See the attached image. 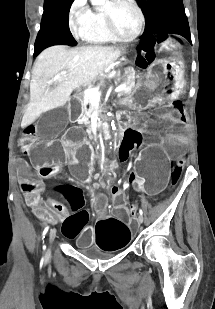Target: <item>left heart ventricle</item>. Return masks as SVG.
<instances>
[{"mask_svg": "<svg viewBox=\"0 0 215 309\" xmlns=\"http://www.w3.org/2000/svg\"><path fill=\"white\" fill-rule=\"evenodd\" d=\"M110 24L114 25L115 29H133L134 16L126 7H118L110 11Z\"/></svg>", "mask_w": 215, "mask_h": 309, "instance_id": "left-heart-ventricle-1", "label": "left heart ventricle"}]
</instances>
